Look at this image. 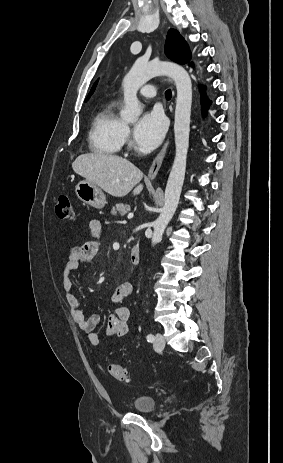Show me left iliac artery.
<instances>
[{
    "instance_id": "left-iliac-artery-1",
    "label": "left iliac artery",
    "mask_w": 283,
    "mask_h": 463,
    "mask_svg": "<svg viewBox=\"0 0 283 463\" xmlns=\"http://www.w3.org/2000/svg\"><path fill=\"white\" fill-rule=\"evenodd\" d=\"M147 341L148 342H153L154 341V336L152 334L147 335Z\"/></svg>"
}]
</instances>
